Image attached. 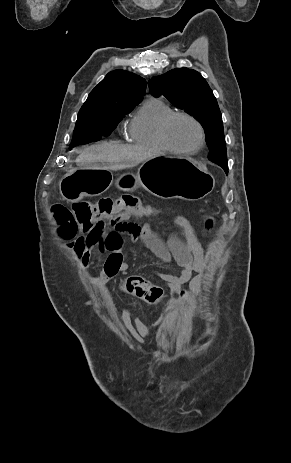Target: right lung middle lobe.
I'll use <instances>...</instances> for the list:
<instances>
[{
	"label": "right lung middle lobe",
	"instance_id": "obj_1",
	"mask_svg": "<svg viewBox=\"0 0 291 463\" xmlns=\"http://www.w3.org/2000/svg\"><path fill=\"white\" fill-rule=\"evenodd\" d=\"M132 106L104 105L98 108L80 110L73 132L71 148L95 142L108 136Z\"/></svg>",
	"mask_w": 291,
	"mask_h": 463
}]
</instances>
